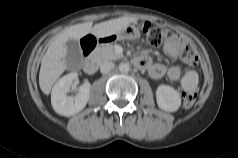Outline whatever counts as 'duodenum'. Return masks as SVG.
I'll return each mask as SVG.
<instances>
[{
  "instance_id": "410a0bca",
  "label": "duodenum",
  "mask_w": 238,
  "mask_h": 158,
  "mask_svg": "<svg viewBox=\"0 0 238 158\" xmlns=\"http://www.w3.org/2000/svg\"><path fill=\"white\" fill-rule=\"evenodd\" d=\"M106 41L104 40H98L97 42H93L92 46H91V49L92 50L94 47L96 46H99L103 43H105ZM136 65L141 67V62L140 61H136ZM97 70V63L94 59L92 58H87L84 62V71L87 73V74H94Z\"/></svg>"
}]
</instances>
